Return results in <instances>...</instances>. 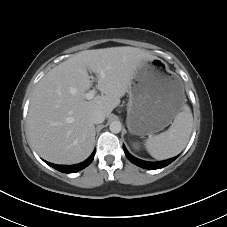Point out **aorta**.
<instances>
[{
  "label": "aorta",
  "instance_id": "aorta-1",
  "mask_svg": "<svg viewBox=\"0 0 227 227\" xmlns=\"http://www.w3.org/2000/svg\"><path fill=\"white\" fill-rule=\"evenodd\" d=\"M109 129L112 133H119L122 129V125L119 121L111 122Z\"/></svg>",
  "mask_w": 227,
  "mask_h": 227
}]
</instances>
